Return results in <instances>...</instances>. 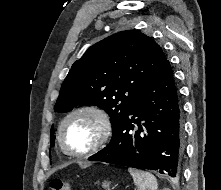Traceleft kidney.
I'll use <instances>...</instances> for the list:
<instances>
[{
	"instance_id": "obj_1",
	"label": "left kidney",
	"mask_w": 221,
	"mask_h": 190,
	"mask_svg": "<svg viewBox=\"0 0 221 190\" xmlns=\"http://www.w3.org/2000/svg\"><path fill=\"white\" fill-rule=\"evenodd\" d=\"M162 190H169V189H167V188H164V189H162Z\"/></svg>"
}]
</instances>
